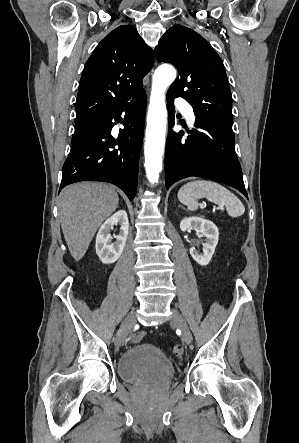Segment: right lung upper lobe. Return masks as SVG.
<instances>
[{"instance_id": "1", "label": "right lung upper lobe", "mask_w": 299, "mask_h": 443, "mask_svg": "<svg viewBox=\"0 0 299 443\" xmlns=\"http://www.w3.org/2000/svg\"><path fill=\"white\" fill-rule=\"evenodd\" d=\"M154 62L153 50L131 25L110 32L88 59L79 84L76 123L129 101L143 90Z\"/></svg>"}]
</instances>
